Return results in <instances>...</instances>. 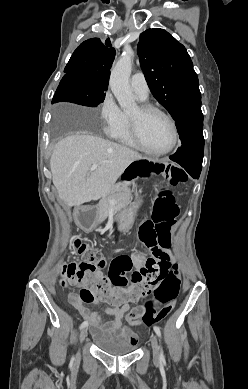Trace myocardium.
<instances>
[{"label":"myocardium","mask_w":248,"mask_h":389,"mask_svg":"<svg viewBox=\"0 0 248 389\" xmlns=\"http://www.w3.org/2000/svg\"><path fill=\"white\" fill-rule=\"evenodd\" d=\"M139 108V115L138 116H132L129 114V121H130V131L131 135L134 139V141L137 143L139 148L144 151L145 153L152 155V156H163L168 153H170L174 148L176 147L178 143V128L176 125L175 120L172 118L171 115H169L165 110L160 108L157 105L151 104V103H142L138 106ZM158 113L162 115L170 124L171 129H172V141L171 144L163 149V150H152L146 146L144 143L141 133H140V117L143 115H146L148 113Z\"/></svg>","instance_id":"myocardium-1"}]
</instances>
